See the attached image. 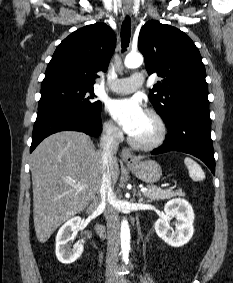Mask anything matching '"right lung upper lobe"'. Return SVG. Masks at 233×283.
I'll list each match as a JSON object with an SVG mask.
<instances>
[{"label": "right lung upper lobe", "instance_id": "obj_1", "mask_svg": "<svg viewBox=\"0 0 233 283\" xmlns=\"http://www.w3.org/2000/svg\"><path fill=\"white\" fill-rule=\"evenodd\" d=\"M115 45V33L105 23L74 31L57 46L42 82L66 81L93 88L97 72L107 71Z\"/></svg>", "mask_w": 233, "mask_h": 283}]
</instances>
